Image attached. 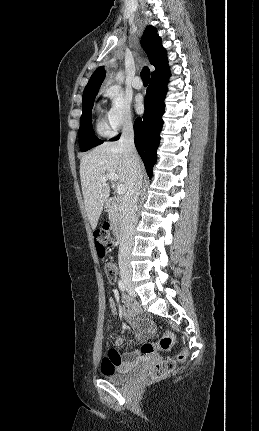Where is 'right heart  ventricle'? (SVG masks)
<instances>
[{
    "instance_id": "obj_1",
    "label": "right heart ventricle",
    "mask_w": 259,
    "mask_h": 431,
    "mask_svg": "<svg viewBox=\"0 0 259 431\" xmlns=\"http://www.w3.org/2000/svg\"><path fill=\"white\" fill-rule=\"evenodd\" d=\"M96 130L99 134L107 136L111 134L106 122L102 118H98L96 122Z\"/></svg>"
}]
</instances>
